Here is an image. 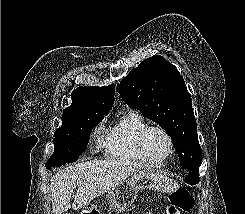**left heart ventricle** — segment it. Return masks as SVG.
Wrapping results in <instances>:
<instances>
[{
	"label": "left heart ventricle",
	"instance_id": "left-heart-ventricle-1",
	"mask_svg": "<svg viewBox=\"0 0 245 214\" xmlns=\"http://www.w3.org/2000/svg\"><path fill=\"white\" fill-rule=\"evenodd\" d=\"M169 147L163 134L158 131H151L145 139V151L152 160H159L166 156Z\"/></svg>",
	"mask_w": 245,
	"mask_h": 214
}]
</instances>
